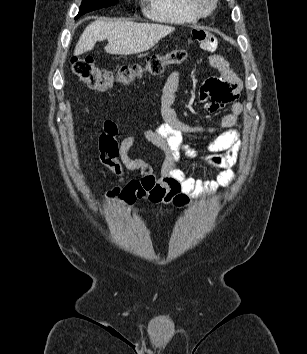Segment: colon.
I'll use <instances>...</instances> for the list:
<instances>
[{
	"mask_svg": "<svg viewBox=\"0 0 307 354\" xmlns=\"http://www.w3.org/2000/svg\"><path fill=\"white\" fill-rule=\"evenodd\" d=\"M187 56L186 50L175 49L166 54L152 55L143 64L124 66L117 72L99 67L91 57H77L72 59L71 69L90 88L104 90L115 82L130 84L145 74L158 75L165 67L179 64L186 60Z\"/></svg>",
	"mask_w": 307,
	"mask_h": 354,
	"instance_id": "obj_1",
	"label": "colon"
}]
</instances>
